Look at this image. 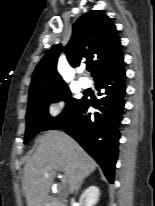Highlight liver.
<instances>
[{
	"label": "liver",
	"instance_id": "6515ba94",
	"mask_svg": "<svg viewBox=\"0 0 155 206\" xmlns=\"http://www.w3.org/2000/svg\"><path fill=\"white\" fill-rule=\"evenodd\" d=\"M38 143L24 168L23 189L28 206H42L46 201L56 170L64 173L70 192H74L80 181L96 169V162L64 132L48 131L38 138Z\"/></svg>",
	"mask_w": 155,
	"mask_h": 206
}]
</instances>
